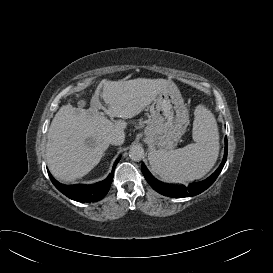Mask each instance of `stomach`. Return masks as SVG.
<instances>
[{"label": "stomach", "mask_w": 273, "mask_h": 273, "mask_svg": "<svg viewBox=\"0 0 273 273\" xmlns=\"http://www.w3.org/2000/svg\"><path fill=\"white\" fill-rule=\"evenodd\" d=\"M151 121L145 135L160 150L173 149L186 131L188 110L177 86L169 82L150 106Z\"/></svg>", "instance_id": "stomach-1"}]
</instances>
